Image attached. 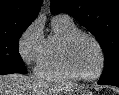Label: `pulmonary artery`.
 Segmentation results:
<instances>
[{
  "instance_id": "pulmonary-artery-1",
  "label": "pulmonary artery",
  "mask_w": 119,
  "mask_h": 95,
  "mask_svg": "<svg viewBox=\"0 0 119 95\" xmlns=\"http://www.w3.org/2000/svg\"><path fill=\"white\" fill-rule=\"evenodd\" d=\"M59 17H62V18H66V19H71L70 16L66 15V14H60L58 15Z\"/></svg>"
}]
</instances>
